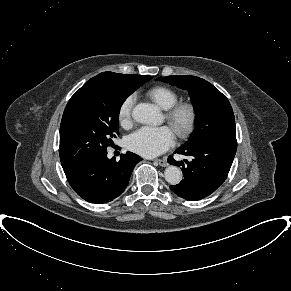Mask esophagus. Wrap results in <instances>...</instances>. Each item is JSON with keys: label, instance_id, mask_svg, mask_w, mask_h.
<instances>
[{"label": "esophagus", "instance_id": "34e87169", "mask_svg": "<svg viewBox=\"0 0 291 291\" xmlns=\"http://www.w3.org/2000/svg\"><path fill=\"white\" fill-rule=\"evenodd\" d=\"M154 163H156L159 166L166 167L168 165L167 161L165 159H155Z\"/></svg>", "mask_w": 291, "mask_h": 291}]
</instances>
